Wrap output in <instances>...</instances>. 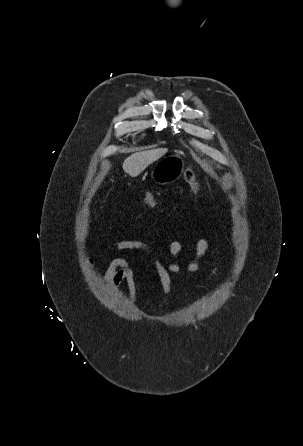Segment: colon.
<instances>
[{"label":"colon","mask_w":303,"mask_h":446,"mask_svg":"<svg viewBox=\"0 0 303 446\" xmlns=\"http://www.w3.org/2000/svg\"><path fill=\"white\" fill-rule=\"evenodd\" d=\"M183 179L194 193L198 194L200 192V184L195 173L192 170L185 169L183 171ZM156 197L157 192L155 190L149 192L144 199V204L147 206H152L155 202Z\"/></svg>","instance_id":"obj_1"}]
</instances>
